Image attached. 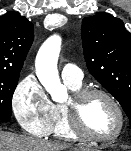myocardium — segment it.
Returning a JSON list of instances; mask_svg holds the SVG:
<instances>
[{"label": "myocardium", "mask_w": 131, "mask_h": 151, "mask_svg": "<svg viewBox=\"0 0 131 151\" xmlns=\"http://www.w3.org/2000/svg\"><path fill=\"white\" fill-rule=\"evenodd\" d=\"M94 96H101L107 99L115 108L118 118L119 126L117 131L109 137L97 136L87 130L84 124V110L88 100ZM65 108L68 115L69 125L73 133L82 139L95 141L99 143H111L116 141L124 131L125 128V114L124 110L116 99V97L110 92L96 87L81 88L73 92L69 101L65 104Z\"/></svg>", "instance_id": "1"}]
</instances>
